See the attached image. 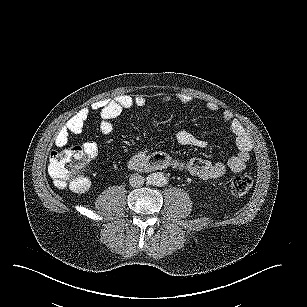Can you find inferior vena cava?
<instances>
[{
  "instance_id": "602c4592",
  "label": "inferior vena cava",
  "mask_w": 307,
  "mask_h": 307,
  "mask_svg": "<svg viewBox=\"0 0 307 307\" xmlns=\"http://www.w3.org/2000/svg\"><path fill=\"white\" fill-rule=\"evenodd\" d=\"M144 182H145L144 176L138 173L131 174L129 177V184L133 188H139L143 186Z\"/></svg>"
}]
</instances>
